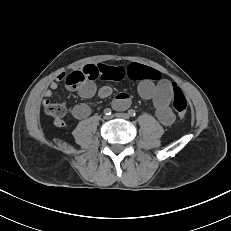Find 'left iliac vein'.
Here are the masks:
<instances>
[{
	"label": "left iliac vein",
	"mask_w": 231,
	"mask_h": 231,
	"mask_svg": "<svg viewBox=\"0 0 231 231\" xmlns=\"http://www.w3.org/2000/svg\"><path fill=\"white\" fill-rule=\"evenodd\" d=\"M115 117L127 120V119H129L130 116L127 113H116Z\"/></svg>",
	"instance_id": "left-iliac-vein-1"
}]
</instances>
